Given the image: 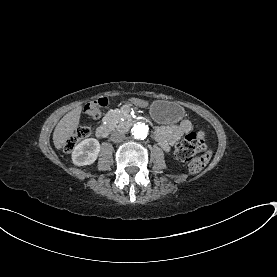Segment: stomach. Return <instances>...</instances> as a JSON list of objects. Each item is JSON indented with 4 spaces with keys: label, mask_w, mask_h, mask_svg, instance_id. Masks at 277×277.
Returning a JSON list of instances; mask_svg holds the SVG:
<instances>
[{
    "label": "stomach",
    "mask_w": 277,
    "mask_h": 277,
    "mask_svg": "<svg viewBox=\"0 0 277 277\" xmlns=\"http://www.w3.org/2000/svg\"><path fill=\"white\" fill-rule=\"evenodd\" d=\"M134 103L139 106L148 105L141 100H134ZM150 114L159 123L174 124L183 118L184 109L177 103L157 100L150 105Z\"/></svg>",
    "instance_id": "1"
}]
</instances>
